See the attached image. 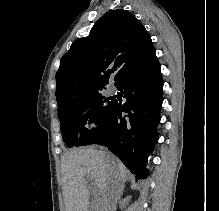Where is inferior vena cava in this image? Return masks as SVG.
I'll list each match as a JSON object with an SVG mask.
<instances>
[{"instance_id":"inferior-vena-cava-1","label":"inferior vena cava","mask_w":219,"mask_h":211,"mask_svg":"<svg viewBox=\"0 0 219 211\" xmlns=\"http://www.w3.org/2000/svg\"><path fill=\"white\" fill-rule=\"evenodd\" d=\"M117 179L120 177L118 174L115 176ZM113 179V183H108V188L106 189L107 197H104V202H102V207L98 208V211H111L115 207V203L118 198H120V193L122 192L121 183H118L117 179Z\"/></svg>"}]
</instances>
